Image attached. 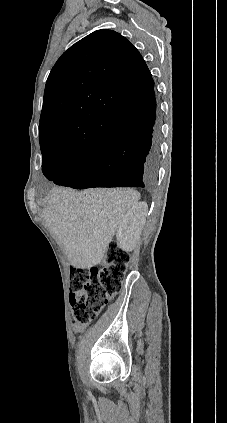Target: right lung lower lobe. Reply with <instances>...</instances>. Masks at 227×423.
<instances>
[{"label":"right lung lower lobe","instance_id":"1","mask_svg":"<svg viewBox=\"0 0 227 423\" xmlns=\"http://www.w3.org/2000/svg\"><path fill=\"white\" fill-rule=\"evenodd\" d=\"M103 115L125 119L130 127L87 149L81 157L42 164L44 176L57 185L141 187L152 189L160 161V125L156 119L155 92L140 101L101 109Z\"/></svg>","mask_w":227,"mask_h":423}]
</instances>
